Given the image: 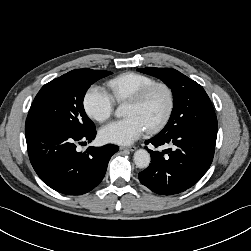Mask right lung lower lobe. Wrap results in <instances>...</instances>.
<instances>
[{
    "label": "right lung lower lobe",
    "instance_id": "98d812e1",
    "mask_svg": "<svg viewBox=\"0 0 251 251\" xmlns=\"http://www.w3.org/2000/svg\"><path fill=\"white\" fill-rule=\"evenodd\" d=\"M25 135L29 159L37 175L49 187L67 195H81L95 188L102 181L111 156L118 151V146L107 144L78 152L76 144L91 142L96 129L79 134L26 120Z\"/></svg>",
    "mask_w": 251,
    "mask_h": 251
}]
</instances>
